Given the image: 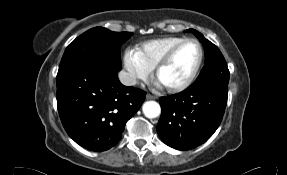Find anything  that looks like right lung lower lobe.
Returning <instances> with one entry per match:
<instances>
[{
    "instance_id": "obj_1",
    "label": "right lung lower lobe",
    "mask_w": 287,
    "mask_h": 175,
    "mask_svg": "<svg viewBox=\"0 0 287 175\" xmlns=\"http://www.w3.org/2000/svg\"><path fill=\"white\" fill-rule=\"evenodd\" d=\"M145 95L122 85L118 71L95 64L72 66L57 74L62 124L77 144L90 151H105L118 143Z\"/></svg>"
}]
</instances>
